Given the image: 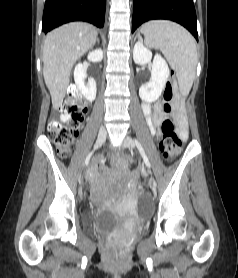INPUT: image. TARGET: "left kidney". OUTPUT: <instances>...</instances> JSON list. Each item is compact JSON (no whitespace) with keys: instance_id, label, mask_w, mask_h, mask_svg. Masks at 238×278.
Listing matches in <instances>:
<instances>
[{"instance_id":"obj_1","label":"left kidney","mask_w":238,"mask_h":278,"mask_svg":"<svg viewBox=\"0 0 238 278\" xmlns=\"http://www.w3.org/2000/svg\"><path fill=\"white\" fill-rule=\"evenodd\" d=\"M133 59L136 64L146 65L151 63L152 52L142 42H137L133 49ZM170 70L166 61L159 55L154 56L151 69V79L139 88L141 100L152 103L156 101L167 82Z\"/></svg>"}]
</instances>
